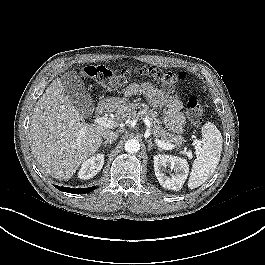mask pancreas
I'll list each match as a JSON object with an SVG mask.
<instances>
[{"label": "pancreas", "mask_w": 265, "mask_h": 265, "mask_svg": "<svg viewBox=\"0 0 265 265\" xmlns=\"http://www.w3.org/2000/svg\"><path fill=\"white\" fill-rule=\"evenodd\" d=\"M123 121L134 118H147L150 122L151 134L156 138L165 143L175 145V148H179L184 138L181 135H175L166 130L161 124L158 114L153 110L149 109V106L144 103H130L120 109L116 115Z\"/></svg>", "instance_id": "obj_1"}]
</instances>
